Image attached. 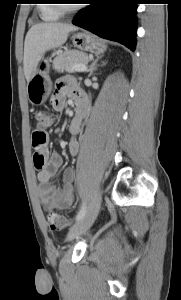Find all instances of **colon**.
<instances>
[{
    "mask_svg": "<svg viewBox=\"0 0 181 300\" xmlns=\"http://www.w3.org/2000/svg\"><path fill=\"white\" fill-rule=\"evenodd\" d=\"M34 120L36 126L32 133V148L34 150L35 165L40 168L45 161L43 152L48 142V135L44 129L53 125L55 122V115L50 111L39 110L35 112ZM47 222L50 229L55 231L65 229L69 225L68 218L55 211L47 213Z\"/></svg>",
    "mask_w": 181,
    "mask_h": 300,
    "instance_id": "5ec220e1",
    "label": "colon"
}]
</instances>
